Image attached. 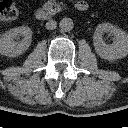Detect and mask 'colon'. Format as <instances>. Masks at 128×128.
<instances>
[{
	"label": "colon",
	"instance_id": "obj_1",
	"mask_svg": "<svg viewBox=\"0 0 128 128\" xmlns=\"http://www.w3.org/2000/svg\"><path fill=\"white\" fill-rule=\"evenodd\" d=\"M18 16L17 0H0V21L13 22Z\"/></svg>",
	"mask_w": 128,
	"mask_h": 128
}]
</instances>
